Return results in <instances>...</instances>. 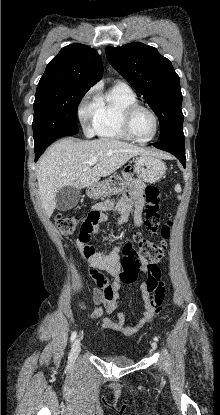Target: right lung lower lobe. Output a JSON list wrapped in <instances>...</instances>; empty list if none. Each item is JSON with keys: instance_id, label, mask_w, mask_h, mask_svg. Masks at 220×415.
<instances>
[{"instance_id": "98d812e1", "label": "right lung lower lobe", "mask_w": 220, "mask_h": 415, "mask_svg": "<svg viewBox=\"0 0 220 415\" xmlns=\"http://www.w3.org/2000/svg\"><path fill=\"white\" fill-rule=\"evenodd\" d=\"M44 150L45 148H39L35 150V161L38 160V158L40 157V155L43 153Z\"/></svg>"}]
</instances>
